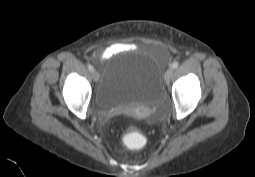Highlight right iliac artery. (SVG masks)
<instances>
[{"instance_id": "obj_1", "label": "right iliac artery", "mask_w": 255, "mask_h": 177, "mask_svg": "<svg viewBox=\"0 0 255 177\" xmlns=\"http://www.w3.org/2000/svg\"><path fill=\"white\" fill-rule=\"evenodd\" d=\"M88 69H89V71H90V72H93V71H94L93 66H92V65H90V64L88 65Z\"/></svg>"}]
</instances>
